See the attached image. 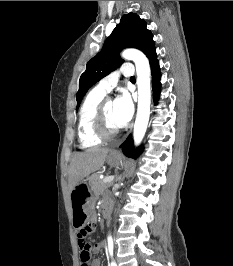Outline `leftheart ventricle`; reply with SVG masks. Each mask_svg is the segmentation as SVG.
Listing matches in <instances>:
<instances>
[{"label": "left heart ventricle", "mask_w": 233, "mask_h": 266, "mask_svg": "<svg viewBox=\"0 0 233 266\" xmlns=\"http://www.w3.org/2000/svg\"><path fill=\"white\" fill-rule=\"evenodd\" d=\"M105 120L106 124L110 129H117V125L115 122V117H114V102L111 101L106 105L105 108Z\"/></svg>", "instance_id": "left-heart-ventricle-1"}]
</instances>
